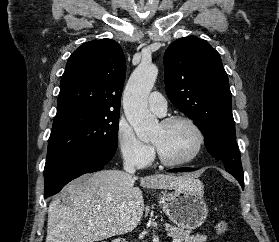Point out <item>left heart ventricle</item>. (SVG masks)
<instances>
[{"mask_svg": "<svg viewBox=\"0 0 279 242\" xmlns=\"http://www.w3.org/2000/svg\"><path fill=\"white\" fill-rule=\"evenodd\" d=\"M151 142L168 159L180 160L189 156L196 145V135L186 123L177 122L169 126L158 124Z\"/></svg>", "mask_w": 279, "mask_h": 242, "instance_id": "left-heart-ventricle-1", "label": "left heart ventricle"}]
</instances>
